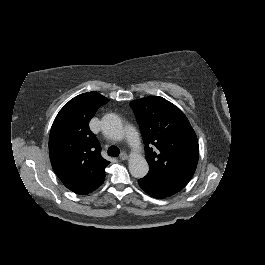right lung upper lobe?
I'll return each instance as SVG.
<instances>
[{
    "mask_svg": "<svg viewBox=\"0 0 265 265\" xmlns=\"http://www.w3.org/2000/svg\"><path fill=\"white\" fill-rule=\"evenodd\" d=\"M109 101L97 92L71 99L56 116L49 136V155L54 172L77 194H88L105 179L109 164L100 155V145L89 129L97 109Z\"/></svg>",
    "mask_w": 265,
    "mask_h": 265,
    "instance_id": "right-lung-upper-lobe-1",
    "label": "right lung upper lobe"
}]
</instances>
